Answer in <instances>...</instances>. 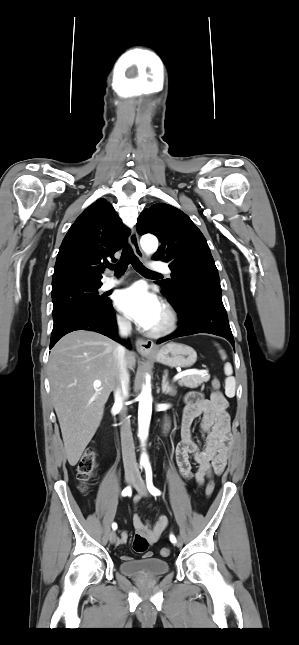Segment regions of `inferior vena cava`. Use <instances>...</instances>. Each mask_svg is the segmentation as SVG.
Wrapping results in <instances>:
<instances>
[{
	"mask_svg": "<svg viewBox=\"0 0 299 645\" xmlns=\"http://www.w3.org/2000/svg\"><path fill=\"white\" fill-rule=\"evenodd\" d=\"M119 335L123 338L130 336L132 326L131 322L126 318H118ZM115 358L117 361L118 383L114 391L115 404L121 409V446L122 457L125 471H132L137 473L138 467L136 463L135 447L130 426V421L126 417V408L124 402L128 398L130 376L127 369L126 349L118 345L115 350Z\"/></svg>",
	"mask_w": 299,
	"mask_h": 645,
	"instance_id": "obj_1",
	"label": "inferior vena cava"
}]
</instances>
